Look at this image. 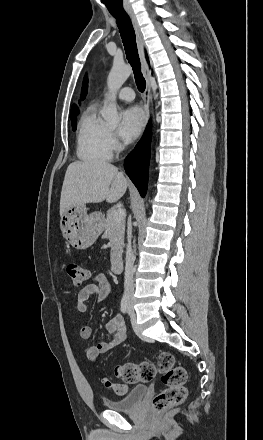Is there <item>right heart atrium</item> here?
<instances>
[{
  "mask_svg": "<svg viewBox=\"0 0 263 440\" xmlns=\"http://www.w3.org/2000/svg\"><path fill=\"white\" fill-rule=\"evenodd\" d=\"M110 140H111V143L113 146L117 145L118 142H117V138L114 133H110Z\"/></svg>",
  "mask_w": 263,
  "mask_h": 440,
  "instance_id": "right-heart-atrium-1",
  "label": "right heart atrium"
}]
</instances>
